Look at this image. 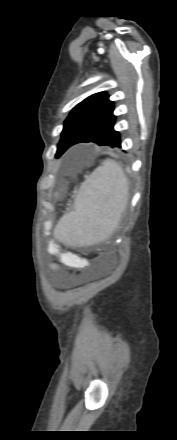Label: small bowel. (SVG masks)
<instances>
[{"label": "small bowel", "mask_w": 177, "mask_h": 440, "mask_svg": "<svg viewBox=\"0 0 177 440\" xmlns=\"http://www.w3.org/2000/svg\"><path fill=\"white\" fill-rule=\"evenodd\" d=\"M72 257H73V255H71V254H65L64 255V258L67 259V260H70ZM52 268L56 269V265L52 264Z\"/></svg>", "instance_id": "c3829d8e"}]
</instances>
